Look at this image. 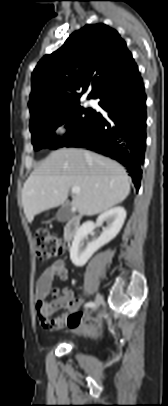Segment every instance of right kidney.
I'll list each match as a JSON object with an SVG mask.
<instances>
[{
  "label": "right kidney",
  "instance_id": "ca27d5eb",
  "mask_svg": "<svg viewBox=\"0 0 168 406\" xmlns=\"http://www.w3.org/2000/svg\"><path fill=\"white\" fill-rule=\"evenodd\" d=\"M125 218L126 211L120 206L102 213L98 217L96 225L101 226L104 221H107V228L103 229V232L96 240L87 242L86 244L85 240L88 234L95 228V224L91 221L83 223L78 229L70 248V259L72 263L77 267L84 266L98 249L117 236L124 224Z\"/></svg>",
  "mask_w": 168,
  "mask_h": 406
}]
</instances>
